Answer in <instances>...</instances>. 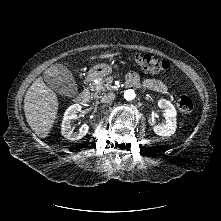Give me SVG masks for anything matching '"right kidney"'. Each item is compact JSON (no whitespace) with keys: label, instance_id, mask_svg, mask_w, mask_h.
I'll list each match as a JSON object with an SVG mask.
<instances>
[{"label":"right kidney","instance_id":"1","mask_svg":"<svg viewBox=\"0 0 221 221\" xmlns=\"http://www.w3.org/2000/svg\"><path fill=\"white\" fill-rule=\"evenodd\" d=\"M81 110V106L80 105H73L68 107L65 110L63 119H62V129L64 130V132H66L67 134L65 135L66 138L70 139V135L71 132L74 130V126L71 124V120L72 119H76L77 118V113ZM88 132V127L85 126L84 130L81 131L78 134V137H82L84 136L86 133Z\"/></svg>","mask_w":221,"mask_h":221}]
</instances>
